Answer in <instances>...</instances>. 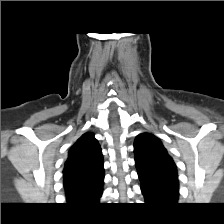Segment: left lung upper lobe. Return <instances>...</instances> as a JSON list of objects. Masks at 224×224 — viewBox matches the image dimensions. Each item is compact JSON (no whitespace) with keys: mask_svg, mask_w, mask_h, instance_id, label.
<instances>
[{"mask_svg":"<svg viewBox=\"0 0 224 224\" xmlns=\"http://www.w3.org/2000/svg\"><path fill=\"white\" fill-rule=\"evenodd\" d=\"M134 154L138 172L178 178L174 161L156 136L149 133L139 134L134 142Z\"/></svg>","mask_w":224,"mask_h":224,"instance_id":"left-lung-upper-lobe-1","label":"left lung upper lobe"}]
</instances>
